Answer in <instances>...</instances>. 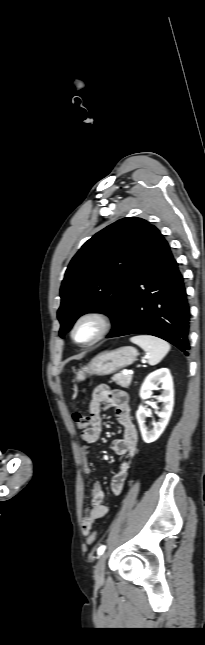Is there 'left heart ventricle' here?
Masks as SVG:
<instances>
[{
    "label": "left heart ventricle",
    "instance_id": "left-heart-ventricle-1",
    "mask_svg": "<svg viewBox=\"0 0 205 645\" xmlns=\"http://www.w3.org/2000/svg\"><path fill=\"white\" fill-rule=\"evenodd\" d=\"M97 327L93 322H85L77 330L76 337L78 340L86 341L96 333Z\"/></svg>",
    "mask_w": 205,
    "mask_h": 645
}]
</instances>
